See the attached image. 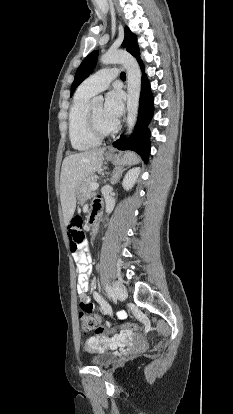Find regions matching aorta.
I'll return each mask as SVG.
<instances>
[{
    "label": "aorta",
    "mask_w": 233,
    "mask_h": 414,
    "mask_svg": "<svg viewBox=\"0 0 233 414\" xmlns=\"http://www.w3.org/2000/svg\"><path fill=\"white\" fill-rule=\"evenodd\" d=\"M102 64H122L127 71V135L134 129L139 106L141 89V72L136 59L126 51L109 50L100 58ZM93 104H102L101 96L92 99ZM99 228V218L96 217L93 236L97 234Z\"/></svg>",
    "instance_id": "aorta-1"
}]
</instances>
